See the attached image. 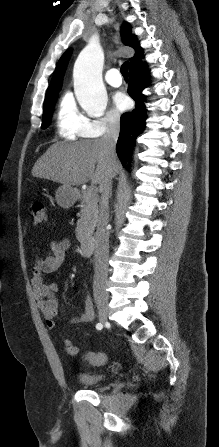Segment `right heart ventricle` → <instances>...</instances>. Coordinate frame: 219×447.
Returning <instances> with one entry per match:
<instances>
[{"label": "right heart ventricle", "instance_id": "obj_1", "mask_svg": "<svg viewBox=\"0 0 219 447\" xmlns=\"http://www.w3.org/2000/svg\"><path fill=\"white\" fill-rule=\"evenodd\" d=\"M56 129L59 137L67 141L95 136L91 129V121L78 110L69 93L60 100L56 113Z\"/></svg>", "mask_w": 219, "mask_h": 447}]
</instances>
